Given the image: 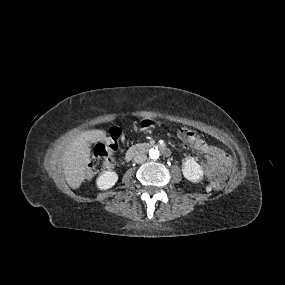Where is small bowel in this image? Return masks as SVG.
<instances>
[{
  "instance_id": "small-bowel-1",
  "label": "small bowel",
  "mask_w": 285,
  "mask_h": 285,
  "mask_svg": "<svg viewBox=\"0 0 285 285\" xmlns=\"http://www.w3.org/2000/svg\"><path fill=\"white\" fill-rule=\"evenodd\" d=\"M195 148L207 157L204 170L208 178L225 179L229 175L231 164L218 147L199 138L198 142L195 144Z\"/></svg>"
}]
</instances>
